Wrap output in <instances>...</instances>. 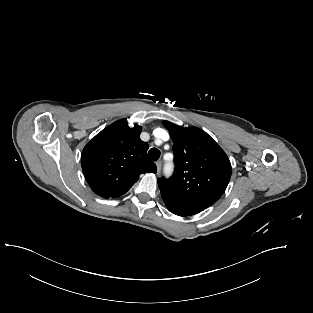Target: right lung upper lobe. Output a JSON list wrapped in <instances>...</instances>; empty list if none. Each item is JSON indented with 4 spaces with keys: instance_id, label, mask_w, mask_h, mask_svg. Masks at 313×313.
<instances>
[{
    "instance_id": "right-lung-upper-lobe-1",
    "label": "right lung upper lobe",
    "mask_w": 313,
    "mask_h": 313,
    "mask_svg": "<svg viewBox=\"0 0 313 313\" xmlns=\"http://www.w3.org/2000/svg\"><path fill=\"white\" fill-rule=\"evenodd\" d=\"M142 128H130L126 119L109 125L83 149L81 164L91 189L104 198L125 194L142 173H156L147 159L148 143L140 139Z\"/></svg>"
}]
</instances>
